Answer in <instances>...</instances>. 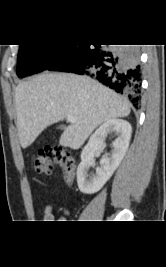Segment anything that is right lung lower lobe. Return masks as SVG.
<instances>
[{
    "label": "right lung lower lobe",
    "instance_id": "right-lung-lower-lobe-1",
    "mask_svg": "<svg viewBox=\"0 0 166 267\" xmlns=\"http://www.w3.org/2000/svg\"><path fill=\"white\" fill-rule=\"evenodd\" d=\"M134 47L106 49L101 45H68L46 69L88 75L127 97L139 102L141 69Z\"/></svg>",
    "mask_w": 166,
    "mask_h": 267
}]
</instances>
